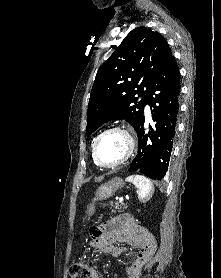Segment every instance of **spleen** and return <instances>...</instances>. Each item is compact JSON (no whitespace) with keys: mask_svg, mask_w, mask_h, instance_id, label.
I'll return each mask as SVG.
<instances>
[{"mask_svg":"<svg viewBox=\"0 0 221 278\" xmlns=\"http://www.w3.org/2000/svg\"><path fill=\"white\" fill-rule=\"evenodd\" d=\"M126 181L133 183L138 189V198L140 201H146L150 198L154 191L152 182L142 175H131L126 178Z\"/></svg>","mask_w":221,"mask_h":278,"instance_id":"3e777b00","label":"spleen"}]
</instances>
